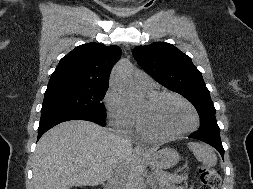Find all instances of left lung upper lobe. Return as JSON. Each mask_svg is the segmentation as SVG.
I'll return each mask as SVG.
<instances>
[{
  "instance_id": "1",
  "label": "left lung upper lobe",
  "mask_w": 253,
  "mask_h": 189,
  "mask_svg": "<svg viewBox=\"0 0 253 189\" xmlns=\"http://www.w3.org/2000/svg\"><path fill=\"white\" fill-rule=\"evenodd\" d=\"M132 54L144 71L158 83L183 95L194 105L200 116L199 129H219L210 92L189 56L164 42L138 46Z\"/></svg>"
}]
</instances>
